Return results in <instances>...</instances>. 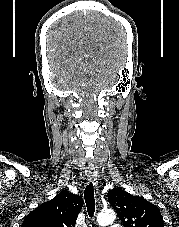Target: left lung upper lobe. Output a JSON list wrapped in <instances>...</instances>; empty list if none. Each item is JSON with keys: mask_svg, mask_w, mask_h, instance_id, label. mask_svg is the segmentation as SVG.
Returning a JSON list of instances; mask_svg holds the SVG:
<instances>
[{"mask_svg": "<svg viewBox=\"0 0 179 227\" xmlns=\"http://www.w3.org/2000/svg\"><path fill=\"white\" fill-rule=\"evenodd\" d=\"M108 201L116 210L124 227H164L159 208L143 197L113 188L108 191Z\"/></svg>", "mask_w": 179, "mask_h": 227, "instance_id": "5c2ea615", "label": "left lung upper lobe"}]
</instances>
